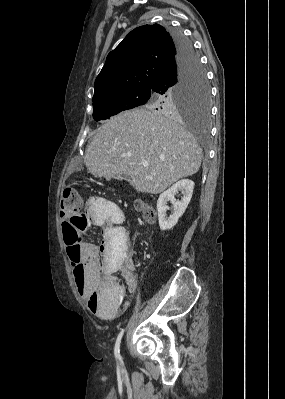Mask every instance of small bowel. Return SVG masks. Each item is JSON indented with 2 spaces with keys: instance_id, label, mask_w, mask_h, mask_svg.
I'll list each match as a JSON object with an SVG mask.
<instances>
[{
  "instance_id": "1",
  "label": "small bowel",
  "mask_w": 285,
  "mask_h": 399,
  "mask_svg": "<svg viewBox=\"0 0 285 399\" xmlns=\"http://www.w3.org/2000/svg\"><path fill=\"white\" fill-rule=\"evenodd\" d=\"M88 227L102 228L101 245L91 241L80 244L78 264L84 267L83 283L79 292L86 297L90 310L97 317L110 319L119 313L120 306L126 309L128 300L124 299V288L116 280L119 271L128 285L129 291L136 289V277L133 272L134 261L126 255L118 259L120 228L122 215L100 197H91L83 205ZM111 213L110 218H107ZM84 226L82 230H85Z\"/></svg>"
}]
</instances>
